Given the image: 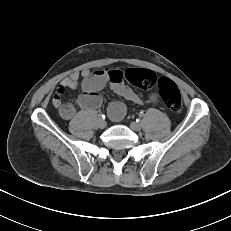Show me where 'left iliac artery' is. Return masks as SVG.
Instances as JSON below:
<instances>
[{"label": "left iliac artery", "instance_id": "44dca946", "mask_svg": "<svg viewBox=\"0 0 231 231\" xmlns=\"http://www.w3.org/2000/svg\"><path fill=\"white\" fill-rule=\"evenodd\" d=\"M139 116H140V117H143V116H144V113H143V112H140V113H139Z\"/></svg>", "mask_w": 231, "mask_h": 231}]
</instances>
